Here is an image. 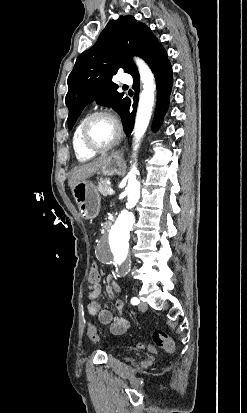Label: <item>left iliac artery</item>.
I'll return each instance as SVG.
<instances>
[{"instance_id": "obj_1", "label": "left iliac artery", "mask_w": 247, "mask_h": 413, "mask_svg": "<svg viewBox=\"0 0 247 413\" xmlns=\"http://www.w3.org/2000/svg\"><path fill=\"white\" fill-rule=\"evenodd\" d=\"M139 303H140V300H139L138 298L133 297V298L131 299V304H132V305H138Z\"/></svg>"}]
</instances>
